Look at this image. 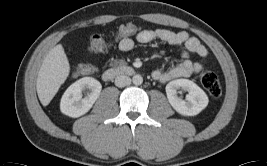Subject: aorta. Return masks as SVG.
Instances as JSON below:
<instances>
[{"label": "aorta", "instance_id": "aorta-1", "mask_svg": "<svg viewBox=\"0 0 267 166\" xmlns=\"http://www.w3.org/2000/svg\"><path fill=\"white\" fill-rule=\"evenodd\" d=\"M132 82L134 85H141L143 83V78L141 75H134L132 78Z\"/></svg>", "mask_w": 267, "mask_h": 166}]
</instances>
